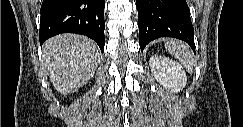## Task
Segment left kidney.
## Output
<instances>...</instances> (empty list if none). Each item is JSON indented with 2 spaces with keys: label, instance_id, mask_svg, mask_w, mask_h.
<instances>
[{
  "label": "left kidney",
  "instance_id": "1",
  "mask_svg": "<svg viewBox=\"0 0 243 127\" xmlns=\"http://www.w3.org/2000/svg\"><path fill=\"white\" fill-rule=\"evenodd\" d=\"M150 68L156 80L171 92L181 91L187 83L183 67L174 60L162 56H152Z\"/></svg>",
  "mask_w": 243,
  "mask_h": 127
}]
</instances>
